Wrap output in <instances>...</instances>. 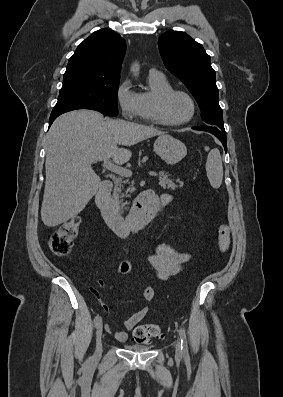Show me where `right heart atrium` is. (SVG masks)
I'll use <instances>...</instances> for the list:
<instances>
[{"label":"right heart atrium","instance_id":"1","mask_svg":"<svg viewBox=\"0 0 283 397\" xmlns=\"http://www.w3.org/2000/svg\"><path fill=\"white\" fill-rule=\"evenodd\" d=\"M116 102L124 118L133 120L142 116L139 94L128 79L121 81L116 89Z\"/></svg>","mask_w":283,"mask_h":397}]
</instances>
